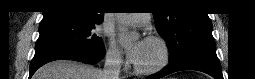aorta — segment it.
Returning a JSON list of instances; mask_svg holds the SVG:
<instances>
[{
	"mask_svg": "<svg viewBox=\"0 0 255 79\" xmlns=\"http://www.w3.org/2000/svg\"><path fill=\"white\" fill-rule=\"evenodd\" d=\"M119 30L120 32H122L125 37L129 40H134L136 38H138V34L135 32H129L127 28L123 27V26H119Z\"/></svg>",
	"mask_w": 255,
	"mask_h": 79,
	"instance_id": "762f6f07",
	"label": "aorta"
}]
</instances>
